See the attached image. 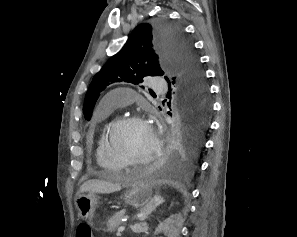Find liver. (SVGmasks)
<instances>
[{"mask_svg":"<svg viewBox=\"0 0 297 237\" xmlns=\"http://www.w3.org/2000/svg\"><path fill=\"white\" fill-rule=\"evenodd\" d=\"M121 186L119 184H113L111 182L103 180H88L80 187V192H90V193H101L109 194L112 192L120 191Z\"/></svg>","mask_w":297,"mask_h":237,"instance_id":"1","label":"liver"}]
</instances>
